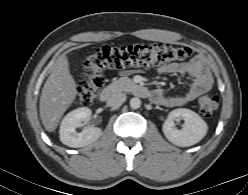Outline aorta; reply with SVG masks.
<instances>
[{
	"label": "aorta",
	"instance_id": "1",
	"mask_svg": "<svg viewBox=\"0 0 248 195\" xmlns=\"http://www.w3.org/2000/svg\"><path fill=\"white\" fill-rule=\"evenodd\" d=\"M141 106V100L138 97H134L130 100V107L132 109H138Z\"/></svg>",
	"mask_w": 248,
	"mask_h": 195
}]
</instances>
